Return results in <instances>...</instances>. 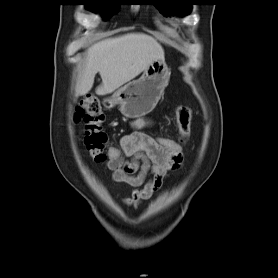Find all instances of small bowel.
Here are the masks:
<instances>
[{
    "label": "small bowel",
    "instance_id": "obj_1",
    "mask_svg": "<svg viewBox=\"0 0 278 278\" xmlns=\"http://www.w3.org/2000/svg\"><path fill=\"white\" fill-rule=\"evenodd\" d=\"M151 125L146 119L132 123V130L121 137V156L106 161L112 180L126 183L134 189L123 202L136 207L152 196L164 183L169 172L178 169L183 155L167 151L158 141L142 130Z\"/></svg>",
    "mask_w": 278,
    "mask_h": 278
}]
</instances>
